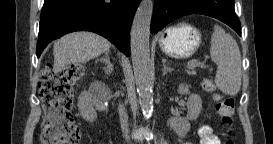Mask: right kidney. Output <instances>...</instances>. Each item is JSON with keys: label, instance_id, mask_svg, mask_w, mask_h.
<instances>
[{"label": "right kidney", "instance_id": "right-kidney-1", "mask_svg": "<svg viewBox=\"0 0 273 144\" xmlns=\"http://www.w3.org/2000/svg\"><path fill=\"white\" fill-rule=\"evenodd\" d=\"M78 108L86 121L93 122L96 120L97 113L92 105V96L90 92L81 93L78 99Z\"/></svg>", "mask_w": 273, "mask_h": 144}]
</instances>
